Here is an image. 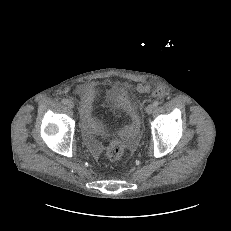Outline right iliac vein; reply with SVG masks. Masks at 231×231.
Here are the masks:
<instances>
[{"label": "right iliac vein", "instance_id": "obj_1", "mask_svg": "<svg viewBox=\"0 0 231 231\" xmlns=\"http://www.w3.org/2000/svg\"><path fill=\"white\" fill-rule=\"evenodd\" d=\"M67 106L69 108H73L74 107V102L72 100H67Z\"/></svg>", "mask_w": 231, "mask_h": 231}]
</instances>
